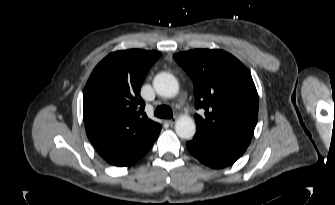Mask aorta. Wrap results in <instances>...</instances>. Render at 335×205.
Masks as SVG:
<instances>
[{
	"label": "aorta",
	"mask_w": 335,
	"mask_h": 205,
	"mask_svg": "<svg viewBox=\"0 0 335 205\" xmlns=\"http://www.w3.org/2000/svg\"><path fill=\"white\" fill-rule=\"evenodd\" d=\"M156 93L162 97L173 98L178 94L179 84L170 73H159L153 81ZM176 134L182 139H192L196 132L194 120L187 115L180 116L175 124Z\"/></svg>",
	"instance_id": "aorta-1"
}]
</instances>
